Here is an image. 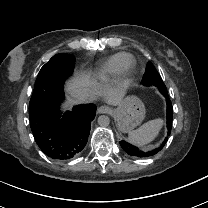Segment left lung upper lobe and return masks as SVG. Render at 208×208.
<instances>
[{
    "label": "left lung upper lobe",
    "instance_id": "5c2ea615",
    "mask_svg": "<svg viewBox=\"0 0 208 208\" xmlns=\"http://www.w3.org/2000/svg\"><path fill=\"white\" fill-rule=\"evenodd\" d=\"M143 85L144 86H151V85L156 86L159 88L160 92L163 95L168 94L166 86L161 76L159 75V73L157 72L156 68L154 67L152 63H149V66L147 68V73L143 79Z\"/></svg>",
    "mask_w": 208,
    "mask_h": 208
}]
</instances>
